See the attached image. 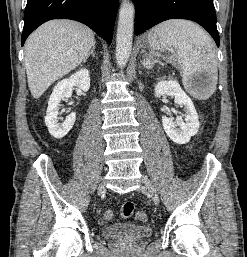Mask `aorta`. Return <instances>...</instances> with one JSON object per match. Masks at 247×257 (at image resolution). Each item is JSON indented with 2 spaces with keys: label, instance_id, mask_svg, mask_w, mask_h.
I'll use <instances>...</instances> for the list:
<instances>
[{
  "label": "aorta",
  "instance_id": "1",
  "mask_svg": "<svg viewBox=\"0 0 247 257\" xmlns=\"http://www.w3.org/2000/svg\"><path fill=\"white\" fill-rule=\"evenodd\" d=\"M134 5L130 0H122L116 35V62L124 68L130 58L134 30Z\"/></svg>",
  "mask_w": 247,
  "mask_h": 257
}]
</instances>
